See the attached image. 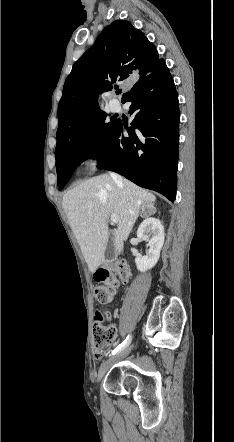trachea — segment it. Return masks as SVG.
Here are the masks:
<instances>
[{
	"instance_id": "3493384b",
	"label": "trachea",
	"mask_w": 234,
	"mask_h": 442,
	"mask_svg": "<svg viewBox=\"0 0 234 442\" xmlns=\"http://www.w3.org/2000/svg\"><path fill=\"white\" fill-rule=\"evenodd\" d=\"M121 93V90H117L116 91V94L118 95V94H120Z\"/></svg>"
}]
</instances>
